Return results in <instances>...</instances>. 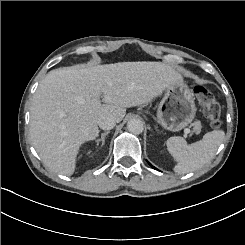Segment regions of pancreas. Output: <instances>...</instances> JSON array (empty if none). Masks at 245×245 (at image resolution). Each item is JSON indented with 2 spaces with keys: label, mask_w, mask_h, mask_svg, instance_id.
Returning a JSON list of instances; mask_svg holds the SVG:
<instances>
[{
  "label": "pancreas",
  "mask_w": 245,
  "mask_h": 245,
  "mask_svg": "<svg viewBox=\"0 0 245 245\" xmlns=\"http://www.w3.org/2000/svg\"><path fill=\"white\" fill-rule=\"evenodd\" d=\"M190 127L193 128V132L199 134L201 132L202 126L199 120H195L193 123L190 124Z\"/></svg>",
  "instance_id": "cf45deb5"
}]
</instances>
